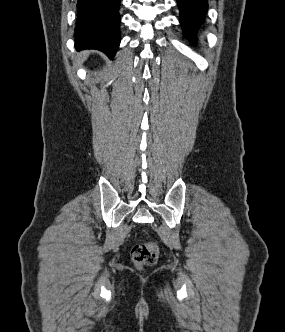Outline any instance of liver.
I'll return each mask as SVG.
<instances>
[{
    "mask_svg": "<svg viewBox=\"0 0 285 332\" xmlns=\"http://www.w3.org/2000/svg\"><path fill=\"white\" fill-rule=\"evenodd\" d=\"M88 55H89V52H87V51L80 54V57L82 58V61H84L87 58Z\"/></svg>",
    "mask_w": 285,
    "mask_h": 332,
    "instance_id": "6515ba94",
    "label": "liver"
}]
</instances>
